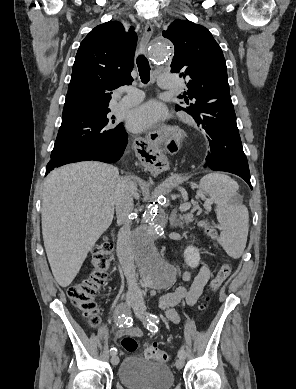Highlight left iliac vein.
Masks as SVG:
<instances>
[{
	"label": "left iliac vein",
	"instance_id": "1",
	"mask_svg": "<svg viewBox=\"0 0 296 389\" xmlns=\"http://www.w3.org/2000/svg\"><path fill=\"white\" fill-rule=\"evenodd\" d=\"M133 310L140 320L145 319V305L139 300L133 305ZM176 368L181 369L184 366V358H178L175 362Z\"/></svg>",
	"mask_w": 296,
	"mask_h": 389
}]
</instances>
